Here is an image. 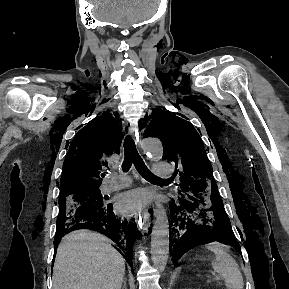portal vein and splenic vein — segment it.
<instances>
[{
	"mask_svg": "<svg viewBox=\"0 0 289 289\" xmlns=\"http://www.w3.org/2000/svg\"><path fill=\"white\" fill-rule=\"evenodd\" d=\"M213 280H217V281H219L220 280V278L219 277H214V278H212Z\"/></svg>",
	"mask_w": 289,
	"mask_h": 289,
	"instance_id": "obj_1",
	"label": "portal vein and splenic vein"
}]
</instances>
